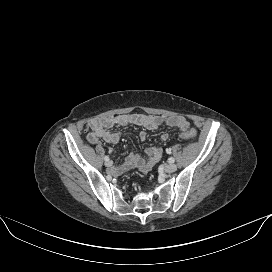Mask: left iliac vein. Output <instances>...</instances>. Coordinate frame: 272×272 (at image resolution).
<instances>
[{"instance_id": "4c4485c4", "label": "left iliac vein", "mask_w": 272, "mask_h": 272, "mask_svg": "<svg viewBox=\"0 0 272 272\" xmlns=\"http://www.w3.org/2000/svg\"><path fill=\"white\" fill-rule=\"evenodd\" d=\"M177 169V166L173 163H168L165 165V171L167 173H172V172H175Z\"/></svg>"}]
</instances>
